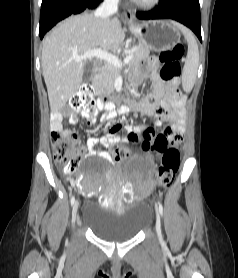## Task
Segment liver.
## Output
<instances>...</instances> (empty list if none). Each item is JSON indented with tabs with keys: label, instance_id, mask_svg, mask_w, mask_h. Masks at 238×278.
<instances>
[{
	"label": "liver",
	"instance_id": "liver-1",
	"mask_svg": "<svg viewBox=\"0 0 238 278\" xmlns=\"http://www.w3.org/2000/svg\"><path fill=\"white\" fill-rule=\"evenodd\" d=\"M124 38L117 17L103 20L93 13L71 16L51 31L43 41L42 70L52 112L65 106L82 83L86 59L74 56L94 49L116 51Z\"/></svg>",
	"mask_w": 238,
	"mask_h": 278
}]
</instances>
